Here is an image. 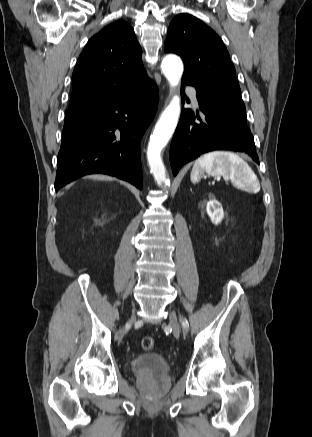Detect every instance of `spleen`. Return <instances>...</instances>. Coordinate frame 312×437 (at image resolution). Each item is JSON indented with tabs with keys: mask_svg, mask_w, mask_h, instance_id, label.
Here are the masks:
<instances>
[{
	"mask_svg": "<svg viewBox=\"0 0 312 437\" xmlns=\"http://www.w3.org/2000/svg\"><path fill=\"white\" fill-rule=\"evenodd\" d=\"M206 171L212 176H223L241 188L258 192L260 183L250 166L237 154L227 151H213L199 157L191 171V181H200L201 174Z\"/></svg>",
	"mask_w": 312,
	"mask_h": 437,
	"instance_id": "spleen-1",
	"label": "spleen"
}]
</instances>
